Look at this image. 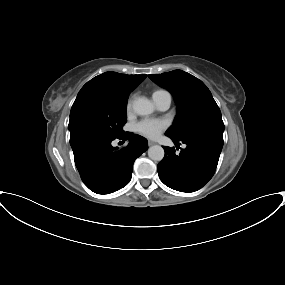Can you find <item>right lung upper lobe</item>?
Listing matches in <instances>:
<instances>
[{
	"mask_svg": "<svg viewBox=\"0 0 285 285\" xmlns=\"http://www.w3.org/2000/svg\"><path fill=\"white\" fill-rule=\"evenodd\" d=\"M145 78L146 75H125L116 72H105L87 82L79 91L75 102L87 95L115 101H127L130 92Z\"/></svg>",
	"mask_w": 285,
	"mask_h": 285,
	"instance_id": "right-lung-upper-lobe-1",
	"label": "right lung upper lobe"
}]
</instances>
